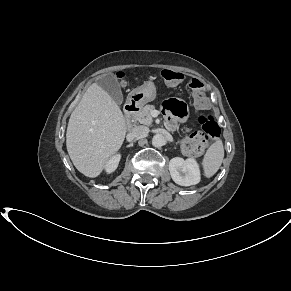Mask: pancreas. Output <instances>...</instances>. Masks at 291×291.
<instances>
[{
    "label": "pancreas",
    "instance_id": "1",
    "mask_svg": "<svg viewBox=\"0 0 291 291\" xmlns=\"http://www.w3.org/2000/svg\"><path fill=\"white\" fill-rule=\"evenodd\" d=\"M155 109L154 105H146L144 106L136 115L135 120L140 122L141 124L150 126L153 122V118L151 112Z\"/></svg>",
    "mask_w": 291,
    "mask_h": 291
}]
</instances>
